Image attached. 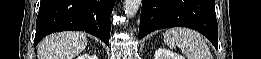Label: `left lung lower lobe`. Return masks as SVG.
I'll use <instances>...</instances> for the list:
<instances>
[{
    "label": "left lung lower lobe",
    "instance_id": "left-lung-lower-lobe-1",
    "mask_svg": "<svg viewBox=\"0 0 261 59\" xmlns=\"http://www.w3.org/2000/svg\"><path fill=\"white\" fill-rule=\"evenodd\" d=\"M177 26L199 31L218 48L214 0H143L139 39L154 30Z\"/></svg>",
    "mask_w": 261,
    "mask_h": 59
}]
</instances>
